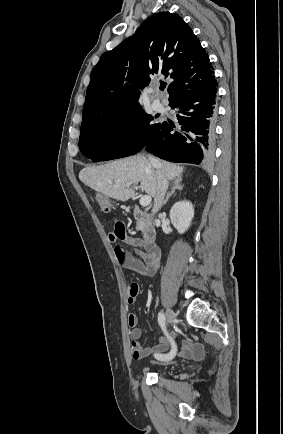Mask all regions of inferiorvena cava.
<instances>
[{
    "label": "inferior vena cava",
    "instance_id": "1",
    "mask_svg": "<svg viewBox=\"0 0 283 434\" xmlns=\"http://www.w3.org/2000/svg\"><path fill=\"white\" fill-rule=\"evenodd\" d=\"M149 160L152 163V165L156 168L157 192H156V196L154 197V205L152 209V214H155L159 211V209L162 207V204L164 202V196L168 188V180L166 179L163 171L161 170V166L158 160L152 157H149Z\"/></svg>",
    "mask_w": 283,
    "mask_h": 434
}]
</instances>
